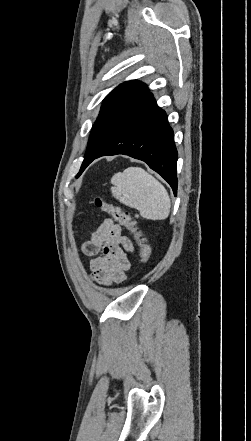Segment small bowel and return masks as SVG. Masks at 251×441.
<instances>
[{
    "label": "small bowel",
    "instance_id": "c3829d8e",
    "mask_svg": "<svg viewBox=\"0 0 251 441\" xmlns=\"http://www.w3.org/2000/svg\"><path fill=\"white\" fill-rule=\"evenodd\" d=\"M83 253L91 257V278L98 284L110 285L126 279L131 267L129 254L132 241L122 234L121 227L111 219H105L82 246ZM101 255L98 256V253Z\"/></svg>",
    "mask_w": 251,
    "mask_h": 441
}]
</instances>
